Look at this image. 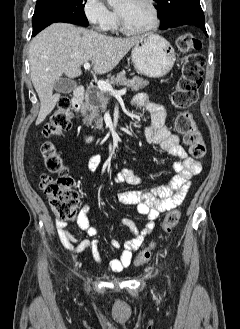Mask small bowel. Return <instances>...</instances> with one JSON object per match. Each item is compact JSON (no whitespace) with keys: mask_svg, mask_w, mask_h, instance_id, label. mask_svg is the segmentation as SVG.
Returning <instances> with one entry per match:
<instances>
[{"mask_svg":"<svg viewBox=\"0 0 240 329\" xmlns=\"http://www.w3.org/2000/svg\"><path fill=\"white\" fill-rule=\"evenodd\" d=\"M131 106L134 109L144 107L149 111L150 121L144 128V138L149 145L157 146L162 152L177 158L173 165L177 174L166 185L142 191H124L118 194L120 203L135 206L138 213L146 216L148 221L141 229H138L131 219H122V225L132 232L133 238L124 243L119 257L109 261V268L116 273L123 271L130 265L133 252L142 245L145 238L151 233L154 228V221L158 216L165 211L178 207L183 202L192 177L198 175L202 170L201 164L189 157L181 146L180 136L171 131L166 122V112L163 106L152 101L146 93L137 94L133 98ZM100 164L101 156L96 154L91 157L88 167L90 171L96 172ZM114 182L117 185L137 186L143 182V179L132 167H125L115 174ZM90 210V204L82 206L79 212L78 225L88 236L94 237L98 235L99 231L89 222ZM56 228L61 244L66 250L72 253L89 250L95 262L99 264L102 262L99 249L100 242L97 239L80 241L75 239L68 230L66 222L57 221ZM111 246L114 249H119L121 244L118 240L112 239Z\"/></svg>","mask_w":240,"mask_h":329,"instance_id":"obj_1","label":"small bowel"}]
</instances>
